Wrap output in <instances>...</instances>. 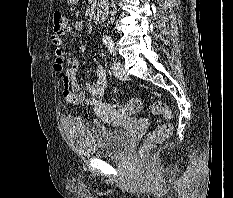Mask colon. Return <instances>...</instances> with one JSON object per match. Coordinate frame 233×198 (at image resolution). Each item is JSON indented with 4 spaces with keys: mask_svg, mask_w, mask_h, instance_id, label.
Listing matches in <instances>:
<instances>
[{
    "mask_svg": "<svg viewBox=\"0 0 233 198\" xmlns=\"http://www.w3.org/2000/svg\"><path fill=\"white\" fill-rule=\"evenodd\" d=\"M66 25L64 16L59 12L55 11L53 15V29L55 32L61 31ZM142 109V101L138 97L131 98L123 107L122 110L127 114H136ZM152 112L154 114H160L165 117L167 122L159 126L157 129L152 131L146 141L139 149L140 158L143 159L152 148L162 143L173 130V126L170 122L172 119L171 109L163 102H155L152 105Z\"/></svg>",
    "mask_w": 233,
    "mask_h": 198,
    "instance_id": "obj_1",
    "label": "colon"
}]
</instances>
